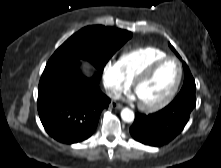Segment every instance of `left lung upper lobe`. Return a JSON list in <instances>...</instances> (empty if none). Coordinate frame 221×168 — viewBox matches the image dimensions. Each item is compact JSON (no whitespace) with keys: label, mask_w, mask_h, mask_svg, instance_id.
I'll use <instances>...</instances> for the list:
<instances>
[{"label":"left lung upper lobe","mask_w":221,"mask_h":168,"mask_svg":"<svg viewBox=\"0 0 221 168\" xmlns=\"http://www.w3.org/2000/svg\"><path fill=\"white\" fill-rule=\"evenodd\" d=\"M169 46L175 52V54L180 58L179 54L176 52V50L174 49V47L170 43H169ZM183 67H184V72H185V78H184V84H183L182 89H188V88L196 89V85H195V81L193 79V76H192L189 68L185 64V62H183Z\"/></svg>","instance_id":"left-lung-upper-lobe-1"}]
</instances>
